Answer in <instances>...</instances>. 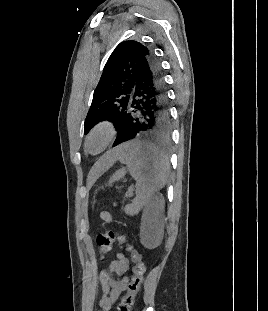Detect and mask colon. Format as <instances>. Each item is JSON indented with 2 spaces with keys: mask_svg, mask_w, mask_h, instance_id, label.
<instances>
[{
  "mask_svg": "<svg viewBox=\"0 0 268 311\" xmlns=\"http://www.w3.org/2000/svg\"><path fill=\"white\" fill-rule=\"evenodd\" d=\"M116 241L126 243L127 250L130 252L134 262L133 276L127 285L126 294L118 305V311H131L135 302V297L141 288L145 266L142 261L141 254L134 248V246L128 243L123 235H119L114 231H106L104 233H100L97 236L96 243L98 246L99 254L102 258L105 254L112 250Z\"/></svg>",
  "mask_w": 268,
  "mask_h": 311,
  "instance_id": "1",
  "label": "colon"
}]
</instances>
